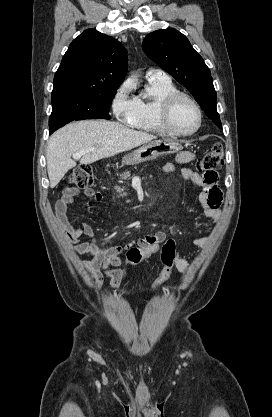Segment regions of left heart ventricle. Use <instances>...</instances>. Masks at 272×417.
<instances>
[{"mask_svg": "<svg viewBox=\"0 0 272 417\" xmlns=\"http://www.w3.org/2000/svg\"><path fill=\"white\" fill-rule=\"evenodd\" d=\"M197 122V111L190 102L181 100L175 105L171 116V123L177 131H192L196 127Z\"/></svg>", "mask_w": 272, "mask_h": 417, "instance_id": "1", "label": "left heart ventricle"}]
</instances>
